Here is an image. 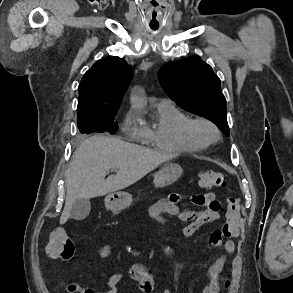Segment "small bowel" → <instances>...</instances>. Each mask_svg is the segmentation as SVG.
<instances>
[{
	"instance_id": "obj_1",
	"label": "small bowel",
	"mask_w": 293,
	"mask_h": 293,
	"mask_svg": "<svg viewBox=\"0 0 293 293\" xmlns=\"http://www.w3.org/2000/svg\"><path fill=\"white\" fill-rule=\"evenodd\" d=\"M181 195L173 192L167 198L155 202L149 208V216L158 223H166L171 218H177L187 222L188 225L183 229V236L191 238L201 226L219 218L220 203L213 192L204 194H194L192 202L194 205L204 207L203 210L184 211L179 203ZM209 243L212 246L223 248L227 253H233L235 242L232 238L223 239L220 231H212L209 235ZM111 253V246L104 244L96 250V256L100 259L106 258ZM226 262V256H219L208 270L209 282L203 288L202 293H217L219 287V277ZM127 276L139 286L142 293H152L154 290L155 276L148 267L141 263H133ZM123 273H114L107 281L102 290L84 289L75 283H70L66 290L67 293H120V284L124 279ZM161 293H173L169 288H165Z\"/></svg>"
}]
</instances>
